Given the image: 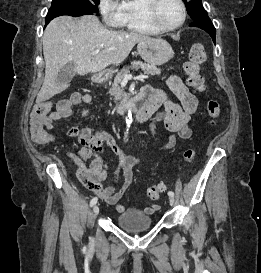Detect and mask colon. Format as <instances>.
<instances>
[{
    "label": "colon",
    "instance_id": "obj_1",
    "mask_svg": "<svg viewBox=\"0 0 261 273\" xmlns=\"http://www.w3.org/2000/svg\"><path fill=\"white\" fill-rule=\"evenodd\" d=\"M205 60V47L202 44L192 45L189 51V59L184 65V70L187 74L188 84L196 91H202L204 89V80L199 70ZM206 110L210 123L215 125L221 112L219 103L216 100L208 101ZM53 111H58L60 116L65 117L70 113L71 108L62 101L58 104L56 109H53L52 104L46 102L36 105L31 113L30 134L33 141L40 145H47L52 140L50 134L45 130V122ZM194 157V150L189 149L184 152L186 162H191ZM165 190L166 186L164 184L154 185L146 190V196L151 200H157Z\"/></svg>",
    "mask_w": 261,
    "mask_h": 273
}]
</instances>
